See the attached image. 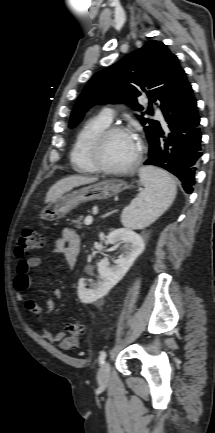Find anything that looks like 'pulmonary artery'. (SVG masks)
<instances>
[{
	"label": "pulmonary artery",
	"instance_id": "e3ab8cb5",
	"mask_svg": "<svg viewBox=\"0 0 215 433\" xmlns=\"http://www.w3.org/2000/svg\"><path fill=\"white\" fill-rule=\"evenodd\" d=\"M105 119H107L108 121H112L113 117H114V111L112 108H105L102 111L101 114ZM156 118L161 122L163 127H166V122L164 120V117L161 113H156Z\"/></svg>",
	"mask_w": 215,
	"mask_h": 433
}]
</instances>
